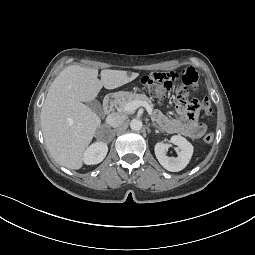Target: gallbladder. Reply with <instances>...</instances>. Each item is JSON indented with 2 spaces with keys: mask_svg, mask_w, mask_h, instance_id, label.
<instances>
[{
  "mask_svg": "<svg viewBox=\"0 0 255 255\" xmlns=\"http://www.w3.org/2000/svg\"><path fill=\"white\" fill-rule=\"evenodd\" d=\"M86 104L93 112L97 113L98 115L102 114L101 104L97 100L87 102Z\"/></svg>",
  "mask_w": 255,
  "mask_h": 255,
  "instance_id": "obj_1",
  "label": "gallbladder"
}]
</instances>
